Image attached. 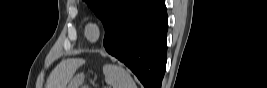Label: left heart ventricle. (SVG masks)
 I'll list each match as a JSON object with an SVG mask.
<instances>
[{
    "label": "left heart ventricle",
    "mask_w": 267,
    "mask_h": 88,
    "mask_svg": "<svg viewBox=\"0 0 267 88\" xmlns=\"http://www.w3.org/2000/svg\"><path fill=\"white\" fill-rule=\"evenodd\" d=\"M90 35H94V31L93 30L90 31Z\"/></svg>",
    "instance_id": "left-heart-ventricle-1"
}]
</instances>
